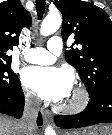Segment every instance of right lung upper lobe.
Listing matches in <instances>:
<instances>
[{
	"label": "right lung upper lobe",
	"instance_id": "obj_1",
	"mask_svg": "<svg viewBox=\"0 0 112 135\" xmlns=\"http://www.w3.org/2000/svg\"><path fill=\"white\" fill-rule=\"evenodd\" d=\"M24 26H31V15L20 1L7 0L0 3V62L12 61L7 51L18 45Z\"/></svg>",
	"mask_w": 112,
	"mask_h": 135
}]
</instances>
